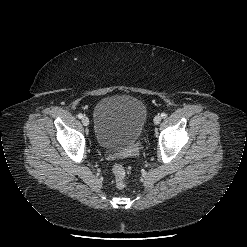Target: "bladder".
Here are the masks:
<instances>
[{
	"mask_svg": "<svg viewBox=\"0 0 247 247\" xmlns=\"http://www.w3.org/2000/svg\"><path fill=\"white\" fill-rule=\"evenodd\" d=\"M147 118L144 103L130 95L101 99L94 108V137L103 150L129 155L138 144Z\"/></svg>",
	"mask_w": 247,
	"mask_h": 247,
	"instance_id": "31cf9c89",
	"label": "bladder"
}]
</instances>
